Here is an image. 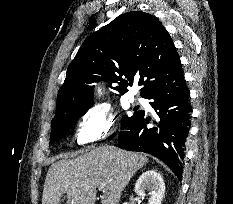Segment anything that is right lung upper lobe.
Returning a JSON list of instances; mask_svg holds the SVG:
<instances>
[{
	"label": "right lung upper lobe",
	"mask_w": 233,
	"mask_h": 204,
	"mask_svg": "<svg viewBox=\"0 0 233 204\" xmlns=\"http://www.w3.org/2000/svg\"><path fill=\"white\" fill-rule=\"evenodd\" d=\"M180 62L174 43L153 15L141 11L121 14L82 44L59 89L57 121L93 105L91 84L104 79L120 94L128 91L135 75L141 95L171 67Z\"/></svg>",
	"instance_id": "right-lung-upper-lobe-1"
}]
</instances>
